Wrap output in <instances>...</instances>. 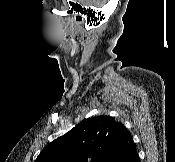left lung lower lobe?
Returning <instances> with one entry per match:
<instances>
[{"instance_id": "0a47b994", "label": "left lung lower lobe", "mask_w": 175, "mask_h": 162, "mask_svg": "<svg viewBox=\"0 0 175 162\" xmlns=\"http://www.w3.org/2000/svg\"><path fill=\"white\" fill-rule=\"evenodd\" d=\"M108 162H139V156L129 132L116 147Z\"/></svg>"}]
</instances>
